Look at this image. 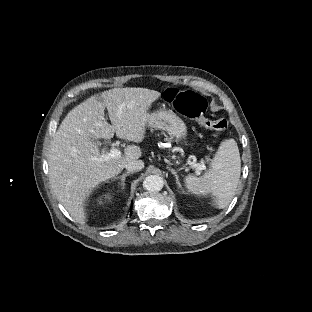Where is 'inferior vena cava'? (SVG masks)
<instances>
[{
    "label": "inferior vena cava",
    "instance_id": "602c4592",
    "mask_svg": "<svg viewBox=\"0 0 312 312\" xmlns=\"http://www.w3.org/2000/svg\"><path fill=\"white\" fill-rule=\"evenodd\" d=\"M126 170L130 173L141 171L144 168V162L142 160L136 159L127 162L125 166Z\"/></svg>",
    "mask_w": 312,
    "mask_h": 312
}]
</instances>
